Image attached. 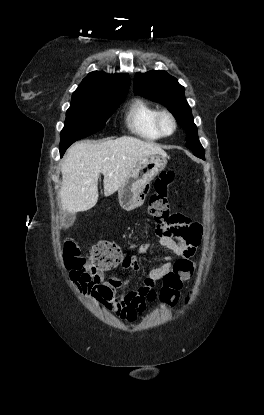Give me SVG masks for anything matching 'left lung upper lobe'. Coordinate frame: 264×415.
<instances>
[{
  "instance_id": "left-lung-upper-lobe-1",
  "label": "left lung upper lobe",
  "mask_w": 264,
  "mask_h": 415,
  "mask_svg": "<svg viewBox=\"0 0 264 415\" xmlns=\"http://www.w3.org/2000/svg\"><path fill=\"white\" fill-rule=\"evenodd\" d=\"M134 94L165 105L179 125L185 129L186 147L194 154L204 153L198 139L191 108L184 96V87L178 83L176 78L163 70H153L145 74L137 73L134 79Z\"/></svg>"
}]
</instances>
